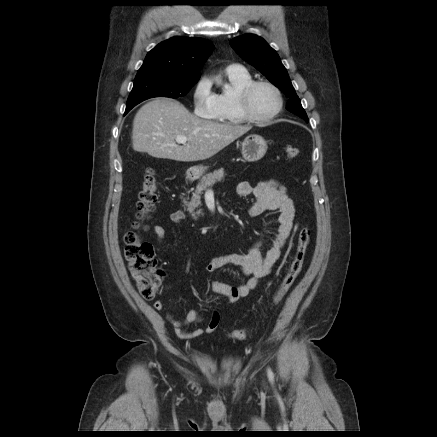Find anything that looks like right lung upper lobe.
Returning a JSON list of instances; mask_svg holds the SVG:
<instances>
[{
    "mask_svg": "<svg viewBox=\"0 0 437 437\" xmlns=\"http://www.w3.org/2000/svg\"><path fill=\"white\" fill-rule=\"evenodd\" d=\"M213 48L203 38L173 37L153 48L138 72L157 69L179 77H200L199 70Z\"/></svg>",
    "mask_w": 437,
    "mask_h": 437,
    "instance_id": "right-lung-upper-lobe-1",
    "label": "right lung upper lobe"
}]
</instances>
